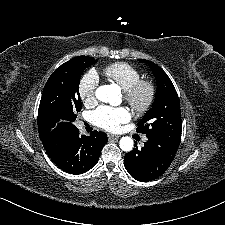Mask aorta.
<instances>
[{
    "instance_id": "obj_1",
    "label": "aorta",
    "mask_w": 225,
    "mask_h": 225,
    "mask_svg": "<svg viewBox=\"0 0 225 225\" xmlns=\"http://www.w3.org/2000/svg\"><path fill=\"white\" fill-rule=\"evenodd\" d=\"M95 95L98 100L110 103L111 105H117L120 102L119 89L116 85H102L97 88ZM133 145L132 138L128 136L122 137L119 141L120 148L125 152L131 151Z\"/></svg>"
}]
</instances>
